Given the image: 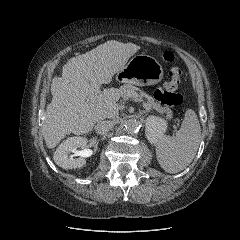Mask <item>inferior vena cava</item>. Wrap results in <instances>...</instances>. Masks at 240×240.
Masks as SVG:
<instances>
[{"instance_id":"1","label":"inferior vena cava","mask_w":240,"mask_h":240,"mask_svg":"<svg viewBox=\"0 0 240 240\" xmlns=\"http://www.w3.org/2000/svg\"><path fill=\"white\" fill-rule=\"evenodd\" d=\"M114 127V122L110 120L99 121L95 125V132L99 135L108 133Z\"/></svg>"}]
</instances>
